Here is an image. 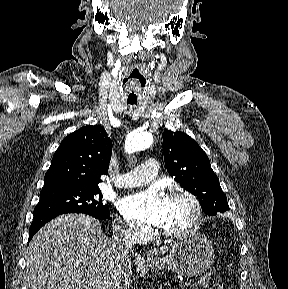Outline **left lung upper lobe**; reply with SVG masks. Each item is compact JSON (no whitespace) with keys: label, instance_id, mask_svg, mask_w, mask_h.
Returning <instances> with one entry per match:
<instances>
[{"label":"left lung upper lobe","instance_id":"1","mask_svg":"<svg viewBox=\"0 0 288 289\" xmlns=\"http://www.w3.org/2000/svg\"><path fill=\"white\" fill-rule=\"evenodd\" d=\"M162 137L169 174L185 190L197 196L203 212L212 216L229 210L219 179L198 143L183 132L166 130Z\"/></svg>","mask_w":288,"mask_h":289}]
</instances>
